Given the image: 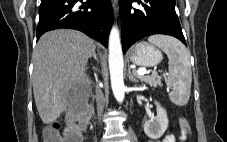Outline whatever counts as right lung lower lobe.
<instances>
[{
	"label": "right lung lower lobe",
	"mask_w": 227,
	"mask_h": 142,
	"mask_svg": "<svg viewBox=\"0 0 227 142\" xmlns=\"http://www.w3.org/2000/svg\"><path fill=\"white\" fill-rule=\"evenodd\" d=\"M39 16L37 39L49 30L71 28L107 46L112 25L110 0H41Z\"/></svg>",
	"instance_id": "right-lung-lower-lobe-1"
}]
</instances>
